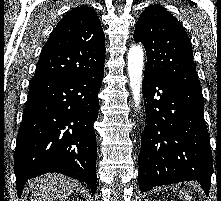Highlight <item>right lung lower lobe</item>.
<instances>
[{"label": "right lung lower lobe", "instance_id": "right-lung-lower-lobe-1", "mask_svg": "<svg viewBox=\"0 0 221 201\" xmlns=\"http://www.w3.org/2000/svg\"><path fill=\"white\" fill-rule=\"evenodd\" d=\"M104 70L65 79H31L16 149L14 172L20 197L26 181L61 173L96 192L98 118Z\"/></svg>", "mask_w": 221, "mask_h": 201}]
</instances>
